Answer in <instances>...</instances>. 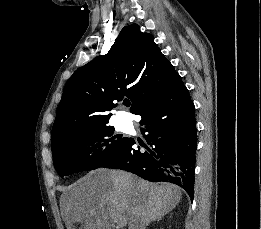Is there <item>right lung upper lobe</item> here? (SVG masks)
Segmentation results:
<instances>
[{
  "instance_id": "cb5924a9",
  "label": "right lung upper lobe",
  "mask_w": 261,
  "mask_h": 229,
  "mask_svg": "<svg viewBox=\"0 0 261 229\" xmlns=\"http://www.w3.org/2000/svg\"><path fill=\"white\" fill-rule=\"evenodd\" d=\"M177 77L151 34L136 24L124 27L106 55L80 67L67 81L53 125L52 151L72 127L109 123L110 111L124 96L137 114Z\"/></svg>"
}]
</instances>
